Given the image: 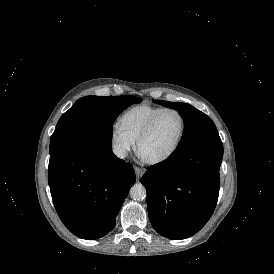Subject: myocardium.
<instances>
[{"label":"myocardium","mask_w":274,"mask_h":274,"mask_svg":"<svg viewBox=\"0 0 274 274\" xmlns=\"http://www.w3.org/2000/svg\"><path fill=\"white\" fill-rule=\"evenodd\" d=\"M167 112H174L179 115V117L181 119V129H180V132L176 138V141H175L173 147L165 156H163L159 159H148V160L141 158L146 164H148L150 166H159V165H162V164L168 162L176 154V152L181 144V141L184 137L185 131H186L187 124H186V118H185L184 114L177 108H173V107L163 108L147 123V125L144 127V129L139 133L138 137L136 138L137 154L140 156V147H141L143 140L152 132V130L154 129L155 125L157 124L159 119L162 117V115H164Z\"/></svg>","instance_id":"myocardium-1"}]
</instances>
